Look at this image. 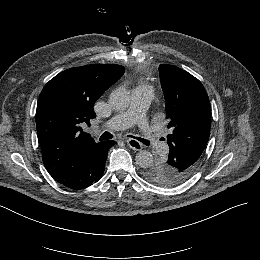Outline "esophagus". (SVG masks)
Instances as JSON below:
<instances>
[{
  "label": "esophagus",
  "instance_id": "esophagus-1",
  "mask_svg": "<svg viewBox=\"0 0 260 260\" xmlns=\"http://www.w3.org/2000/svg\"><path fill=\"white\" fill-rule=\"evenodd\" d=\"M127 144L130 148H132L133 150H141L143 148L142 144L136 140V139H132V138H129L127 139Z\"/></svg>",
  "mask_w": 260,
  "mask_h": 260
}]
</instances>
